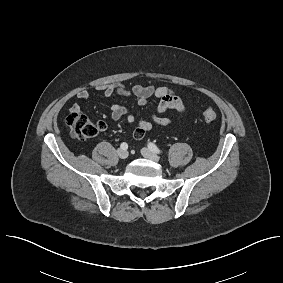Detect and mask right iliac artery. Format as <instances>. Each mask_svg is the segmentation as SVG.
<instances>
[{"instance_id":"1","label":"right iliac artery","mask_w":283,"mask_h":283,"mask_svg":"<svg viewBox=\"0 0 283 283\" xmlns=\"http://www.w3.org/2000/svg\"><path fill=\"white\" fill-rule=\"evenodd\" d=\"M120 147H121V149L126 150L128 148V144L123 142V143H121Z\"/></svg>"}]
</instances>
